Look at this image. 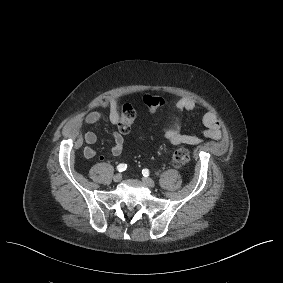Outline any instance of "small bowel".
Masks as SVG:
<instances>
[{
  "label": "small bowel",
  "mask_w": 283,
  "mask_h": 283,
  "mask_svg": "<svg viewBox=\"0 0 283 283\" xmlns=\"http://www.w3.org/2000/svg\"><path fill=\"white\" fill-rule=\"evenodd\" d=\"M175 107L180 113H189L194 110L195 102L188 97H180ZM107 119L113 125H117L119 122V113L117 103L114 100H105L100 104V109L92 111L85 115L83 118H75L67 125V131L71 137H76V145L82 146L84 143L87 146L83 150L85 158L92 159L96 156V151L92 145L97 141V135L92 132H86L83 137L80 136L79 130L83 123L88 125H94L98 122ZM204 129L202 135L207 138L219 140L222 137V123L216 113L207 112L202 118ZM113 145L111 147V154L118 156L122 153L124 148V137L120 131H114L112 133ZM166 141L173 145L188 144L197 145L202 141V138L197 133L183 132L179 122L175 123L173 127L166 130L164 133ZM102 159V157H101Z\"/></svg>",
  "instance_id": "c3829d8e"
}]
</instances>
